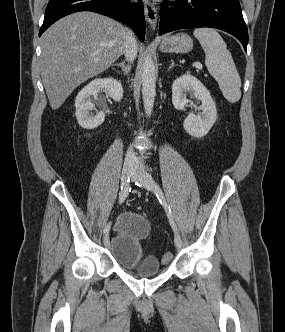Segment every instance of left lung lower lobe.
Returning a JSON list of instances; mask_svg holds the SVG:
<instances>
[{"instance_id": "0a47b994", "label": "left lung lower lobe", "mask_w": 285, "mask_h": 332, "mask_svg": "<svg viewBox=\"0 0 285 332\" xmlns=\"http://www.w3.org/2000/svg\"><path fill=\"white\" fill-rule=\"evenodd\" d=\"M172 9L160 11L159 32L212 27L235 36L247 51L248 30L238 0H176Z\"/></svg>"}]
</instances>
